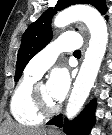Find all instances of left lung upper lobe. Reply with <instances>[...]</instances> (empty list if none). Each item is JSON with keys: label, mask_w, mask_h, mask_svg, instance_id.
<instances>
[{"label": "left lung upper lobe", "mask_w": 112, "mask_h": 135, "mask_svg": "<svg viewBox=\"0 0 112 135\" xmlns=\"http://www.w3.org/2000/svg\"><path fill=\"white\" fill-rule=\"evenodd\" d=\"M75 4H90L102 14H105L107 11L105 0H58L54 8H48L23 34L22 43L17 55L15 81L19 80L23 69L30 59L52 39L51 20L53 15L58 10Z\"/></svg>", "instance_id": "1"}]
</instances>
